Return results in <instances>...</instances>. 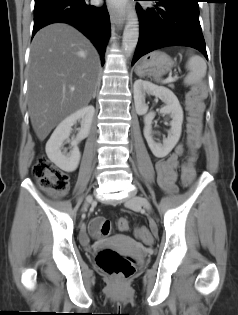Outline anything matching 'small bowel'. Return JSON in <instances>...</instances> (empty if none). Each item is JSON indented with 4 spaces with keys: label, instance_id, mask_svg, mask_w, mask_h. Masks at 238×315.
<instances>
[{
    "label": "small bowel",
    "instance_id": "small-bowel-1",
    "mask_svg": "<svg viewBox=\"0 0 238 315\" xmlns=\"http://www.w3.org/2000/svg\"><path fill=\"white\" fill-rule=\"evenodd\" d=\"M183 145L179 144L175 150L166 158L156 161L155 168L157 173V180L160 187L167 193H174L177 189V167L179 156L183 153ZM194 160V159H193ZM195 172L191 173L187 178L189 184L194 178ZM186 184V185H187ZM141 238V237H140ZM144 243L149 242V237L141 238Z\"/></svg>",
    "mask_w": 238,
    "mask_h": 315
}]
</instances>
